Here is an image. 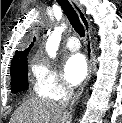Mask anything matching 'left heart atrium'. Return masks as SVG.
<instances>
[{"mask_svg": "<svg viewBox=\"0 0 122 123\" xmlns=\"http://www.w3.org/2000/svg\"><path fill=\"white\" fill-rule=\"evenodd\" d=\"M87 71V63L82 54H71L65 59L64 75L70 85L80 84L85 79Z\"/></svg>", "mask_w": 122, "mask_h": 123, "instance_id": "39dd6f15", "label": "left heart atrium"}]
</instances>
